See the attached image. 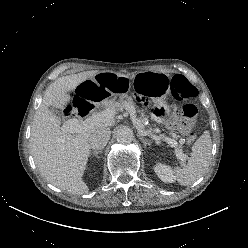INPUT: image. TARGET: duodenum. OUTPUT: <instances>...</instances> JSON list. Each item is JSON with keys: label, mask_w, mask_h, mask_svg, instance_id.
<instances>
[{"label": "duodenum", "mask_w": 248, "mask_h": 248, "mask_svg": "<svg viewBox=\"0 0 248 248\" xmlns=\"http://www.w3.org/2000/svg\"><path fill=\"white\" fill-rule=\"evenodd\" d=\"M94 106L89 104H80L75 105V110L80 116H88L93 111Z\"/></svg>", "instance_id": "410a0bca"}]
</instances>
